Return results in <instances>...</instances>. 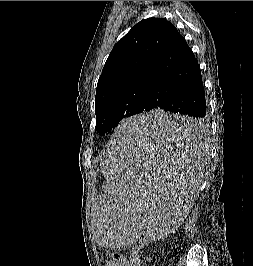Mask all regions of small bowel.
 <instances>
[{"instance_id":"1","label":"small bowel","mask_w":253,"mask_h":266,"mask_svg":"<svg viewBox=\"0 0 253 266\" xmlns=\"http://www.w3.org/2000/svg\"><path fill=\"white\" fill-rule=\"evenodd\" d=\"M138 251L139 248H134L131 255L124 259V266H145L141 263L139 257H138Z\"/></svg>"}]
</instances>
